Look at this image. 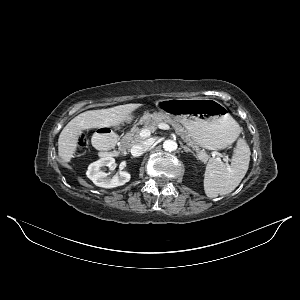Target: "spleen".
Masks as SVG:
<instances>
[{"instance_id": "3e777b00", "label": "spleen", "mask_w": 300, "mask_h": 300, "mask_svg": "<svg viewBox=\"0 0 300 300\" xmlns=\"http://www.w3.org/2000/svg\"><path fill=\"white\" fill-rule=\"evenodd\" d=\"M250 155V148L246 141L239 139L230 166L218 159H211L204 173L205 194L210 198H214L235 190L247 173Z\"/></svg>"}]
</instances>
